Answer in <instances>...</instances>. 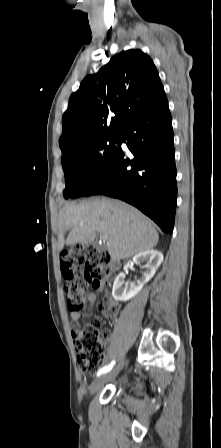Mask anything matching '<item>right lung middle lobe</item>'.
<instances>
[{
  "mask_svg": "<svg viewBox=\"0 0 221 448\" xmlns=\"http://www.w3.org/2000/svg\"><path fill=\"white\" fill-rule=\"evenodd\" d=\"M118 134L94 139L62 159L65 198H77L104 169L117 148Z\"/></svg>",
  "mask_w": 221,
  "mask_h": 448,
  "instance_id": "right-lung-middle-lobe-1",
  "label": "right lung middle lobe"
}]
</instances>
